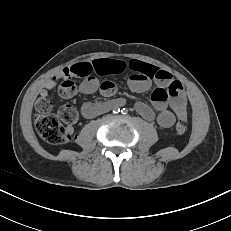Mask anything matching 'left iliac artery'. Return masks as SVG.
Wrapping results in <instances>:
<instances>
[{
	"instance_id": "left-iliac-artery-1",
	"label": "left iliac artery",
	"mask_w": 231,
	"mask_h": 231,
	"mask_svg": "<svg viewBox=\"0 0 231 231\" xmlns=\"http://www.w3.org/2000/svg\"><path fill=\"white\" fill-rule=\"evenodd\" d=\"M121 112H122L123 114H126V113H127V109L123 108V109L121 110Z\"/></svg>"
}]
</instances>
